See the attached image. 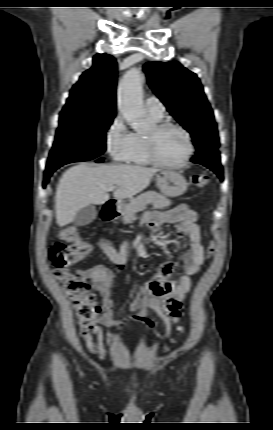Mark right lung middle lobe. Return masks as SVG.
Masks as SVG:
<instances>
[{"label":"right lung middle lobe","mask_w":273,"mask_h":430,"mask_svg":"<svg viewBox=\"0 0 273 430\" xmlns=\"http://www.w3.org/2000/svg\"><path fill=\"white\" fill-rule=\"evenodd\" d=\"M115 115H91L77 110H63L55 142L45 173L78 161H87L106 150V131Z\"/></svg>","instance_id":"obj_1"}]
</instances>
